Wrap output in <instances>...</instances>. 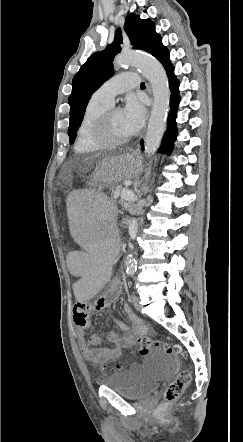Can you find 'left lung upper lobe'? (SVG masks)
I'll use <instances>...</instances> for the list:
<instances>
[{
  "mask_svg": "<svg viewBox=\"0 0 243 442\" xmlns=\"http://www.w3.org/2000/svg\"><path fill=\"white\" fill-rule=\"evenodd\" d=\"M124 28L134 49L152 54L161 41L160 35L155 32L154 23L150 19L142 20L133 13L127 16ZM122 42V34L118 29L114 42L103 51L92 54L74 76L72 93L68 100L70 105L68 134L71 143L75 140L76 131L83 120L91 95L113 75L112 61L121 51Z\"/></svg>",
  "mask_w": 243,
  "mask_h": 442,
  "instance_id": "left-lung-upper-lobe-1",
  "label": "left lung upper lobe"
}]
</instances>
